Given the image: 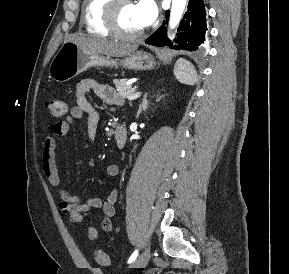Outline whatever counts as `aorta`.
<instances>
[{
  "mask_svg": "<svg viewBox=\"0 0 289 274\" xmlns=\"http://www.w3.org/2000/svg\"><path fill=\"white\" fill-rule=\"evenodd\" d=\"M186 2L187 0H172V7L169 21L171 29L175 28L179 24L186 6Z\"/></svg>",
  "mask_w": 289,
  "mask_h": 274,
  "instance_id": "aorta-1",
  "label": "aorta"
}]
</instances>
